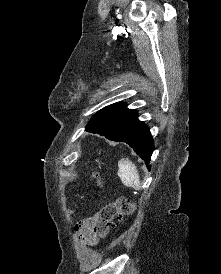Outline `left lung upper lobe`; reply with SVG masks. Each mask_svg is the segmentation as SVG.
Returning <instances> with one entry per match:
<instances>
[{
    "label": "left lung upper lobe",
    "instance_id": "obj_1",
    "mask_svg": "<svg viewBox=\"0 0 221 274\" xmlns=\"http://www.w3.org/2000/svg\"><path fill=\"white\" fill-rule=\"evenodd\" d=\"M94 119H95V117H93L91 120H90V122H89V124L87 125V127H89L90 125H91V123L94 121ZM86 127V128H87Z\"/></svg>",
    "mask_w": 221,
    "mask_h": 274
}]
</instances>
